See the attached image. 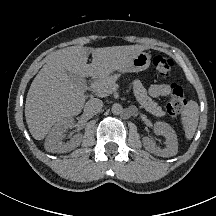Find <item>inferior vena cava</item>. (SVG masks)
I'll return each mask as SVG.
<instances>
[{
  "label": "inferior vena cava",
  "instance_id": "1",
  "mask_svg": "<svg viewBox=\"0 0 216 216\" xmlns=\"http://www.w3.org/2000/svg\"><path fill=\"white\" fill-rule=\"evenodd\" d=\"M102 107H103V102L98 98L90 99L85 104V110L91 114H96L100 112Z\"/></svg>",
  "mask_w": 216,
  "mask_h": 216
}]
</instances>
